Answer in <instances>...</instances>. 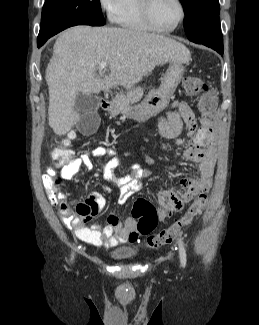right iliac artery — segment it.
I'll use <instances>...</instances> for the list:
<instances>
[{
	"instance_id": "obj_1",
	"label": "right iliac artery",
	"mask_w": 259,
	"mask_h": 325,
	"mask_svg": "<svg viewBox=\"0 0 259 325\" xmlns=\"http://www.w3.org/2000/svg\"><path fill=\"white\" fill-rule=\"evenodd\" d=\"M73 258H74V255L72 254V255H71V261L73 260Z\"/></svg>"
}]
</instances>
